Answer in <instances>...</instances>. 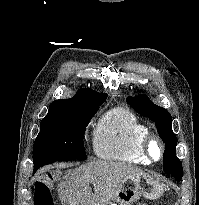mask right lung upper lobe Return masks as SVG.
Wrapping results in <instances>:
<instances>
[{"instance_id": "1", "label": "right lung upper lobe", "mask_w": 199, "mask_h": 205, "mask_svg": "<svg viewBox=\"0 0 199 205\" xmlns=\"http://www.w3.org/2000/svg\"><path fill=\"white\" fill-rule=\"evenodd\" d=\"M107 98V95L105 93H98L93 91L90 88H81L77 91L76 95L72 98L69 99H60L52 102L50 104L49 109L58 107V106H63V105H69V104H74L77 102H83V101H92V100H105Z\"/></svg>"}]
</instances>
